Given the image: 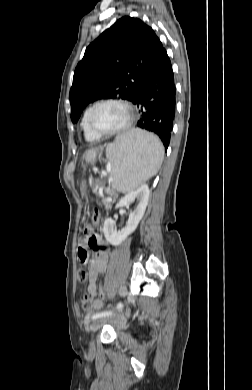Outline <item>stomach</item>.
Here are the masks:
<instances>
[{
  "label": "stomach",
  "instance_id": "stomach-1",
  "mask_svg": "<svg viewBox=\"0 0 252 390\" xmlns=\"http://www.w3.org/2000/svg\"><path fill=\"white\" fill-rule=\"evenodd\" d=\"M97 152L96 151H90L86 155V161L89 163H93L96 159Z\"/></svg>",
  "mask_w": 252,
  "mask_h": 390
}]
</instances>
